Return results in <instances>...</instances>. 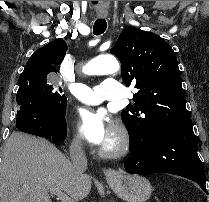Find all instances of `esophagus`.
Masks as SVG:
<instances>
[{
	"mask_svg": "<svg viewBox=\"0 0 209 202\" xmlns=\"http://www.w3.org/2000/svg\"><path fill=\"white\" fill-rule=\"evenodd\" d=\"M98 16L100 18H106L108 16V14L107 13H99ZM104 173H105L107 180H111V179L116 178L118 176V172L112 168L105 169Z\"/></svg>",
	"mask_w": 209,
	"mask_h": 202,
	"instance_id": "1",
	"label": "esophagus"
}]
</instances>
